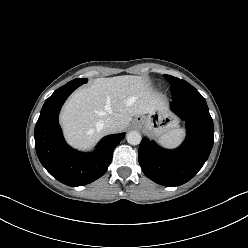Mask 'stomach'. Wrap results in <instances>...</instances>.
I'll return each mask as SVG.
<instances>
[{"label": "stomach", "mask_w": 248, "mask_h": 248, "mask_svg": "<svg viewBox=\"0 0 248 248\" xmlns=\"http://www.w3.org/2000/svg\"><path fill=\"white\" fill-rule=\"evenodd\" d=\"M138 118L144 131L156 137L171 131L177 125V122L165 112H156L148 116H138L137 120Z\"/></svg>", "instance_id": "obj_1"}]
</instances>
